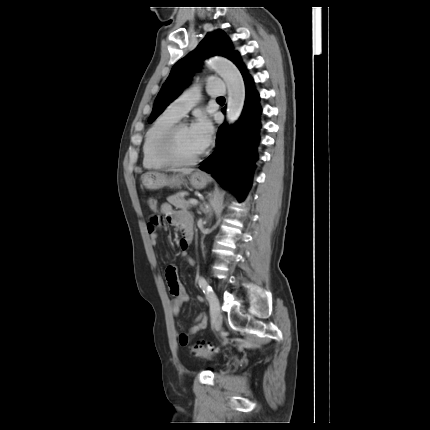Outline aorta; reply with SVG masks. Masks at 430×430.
<instances>
[{"instance_id": "aorta-1", "label": "aorta", "mask_w": 430, "mask_h": 430, "mask_svg": "<svg viewBox=\"0 0 430 430\" xmlns=\"http://www.w3.org/2000/svg\"><path fill=\"white\" fill-rule=\"evenodd\" d=\"M208 65L223 78L227 85L226 116L229 123H234L239 119L245 101V85L242 75L233 63L221 56H213ZM210 206L213 209L217 208L218 198L216 196L210 201Z\"/></svg>"}]
</instances>
